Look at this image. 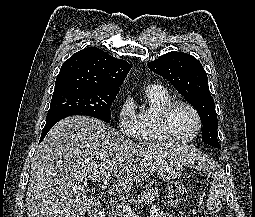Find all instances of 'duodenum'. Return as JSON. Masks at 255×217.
<instances>
[{
    "label": "duodenum",
    "mask_w": 255,
    "mask_h": 217,
    "mask_svg": "<svg viewBox=\"0 0 255 217\" xmlns=\"http://www.w3.org/2000/svg\"><path fill=\"white\" fill-rule=\"evenodd\" d=\"M90 217H105V212L100 209L92 213Z\"/></svg>",
    "instance_id": "duodenum-1"
}]
</instances>
